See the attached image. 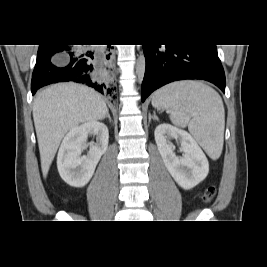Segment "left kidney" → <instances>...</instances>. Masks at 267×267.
<instances>
[{
    "label": "left kidney",
    "instance_id": "left-kidney-1",
    "mask_svg": "<svg viewBox=\"0 0 267 267\" xmlns=\"http://www.w3.org/2000/svg\"><path fill=\"white\" fill-rule=\"evenodd\" d=\"M154 136L166 168L180 187L192 189L207 177L208 160L188 132L169 124H160L156 127ZM171 139L179 141L184 153L182 157L176 156Z\"/></svg>",
    "mask_w": 267,
    "mask_h": 267
}]
</instances>
